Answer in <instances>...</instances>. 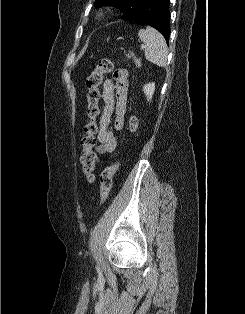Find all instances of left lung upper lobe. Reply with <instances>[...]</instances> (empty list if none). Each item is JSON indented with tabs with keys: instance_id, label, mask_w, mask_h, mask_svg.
<instances>
[{
	"instance_id": "5c2ea615",
	"label": "left lung upper lobe",
	"mask_w": 245,
	"mask_h": 314,
	"mask_svg": "<svg viewBox=\"0 0 245 314\" xmlns=\"http://www.w3.org/2000/svg\"><path fill=\"white\" fill-rule=\"evenodd\" d=\"M145 0H95L96 8L114 6L123 12V18L128 20L135 15Z\"/></svg>"
}]
</instances>
